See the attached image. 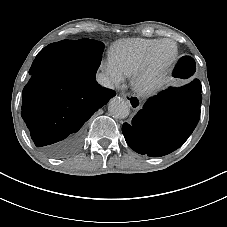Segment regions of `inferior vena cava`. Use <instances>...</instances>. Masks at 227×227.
Returning a JSON list of instances; mask_svg holds the SVG:
<instances>
[{
	"label": "inferior vena cava",
	"instance_id": "obj_1",
	"mask_svg": "<svg viewBox=\"0 0 227 227\" xmlns=\"http://www.w3.org/2000/svg\"><path fill=\"white\" fill-rule=\"evenodd\" d=\"M96 80L100 85H102L104 87H107V88H113L114 87L110 78L104 73H98L96 75Z\"/></svg>",
	"mask_w": 227,
	"mask_h": 227
}]
</instances>
